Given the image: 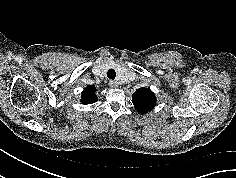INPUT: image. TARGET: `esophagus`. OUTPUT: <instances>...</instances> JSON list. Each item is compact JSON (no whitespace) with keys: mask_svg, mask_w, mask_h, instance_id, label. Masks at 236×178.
I'll use <instances>...</instances> for the list:
<instances>
[{"mask_svg":"<svg viewBox=\"0 0 236 178\" xmlns=\"http://www.w3.org/2000/svg\"><path fill=\"white\" fill-rule=\"evenodd\" d=\"M109 85H110V87H112V88H117L118 87V83L117 82H115V81H109Z\"/></svg>","mask_w":236,"mask_h":178,"instance_id":"esophagus-1","label":"esophagus"}]
</instances>
